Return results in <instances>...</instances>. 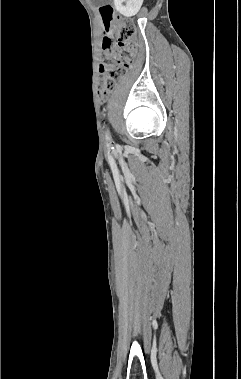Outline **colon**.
<instances>
[{"instance_id":"obj_1","label":"colon","mask_w":241,"mask_h":379,"mask_svg":"<svg viewBox=\"0 0 241 379\" xmlns=\"http://www.w3.org/2000/svg\"><path fill=\"white\" fill-rule=\"evenodd\" d=\"M100 14L106 24L103 40L104 60L100 65L99 92L105 97L112 92L125 71L132 66L136 54V27L121 22L111 4L102 5Z\"/></svg>"}]
</instances>
